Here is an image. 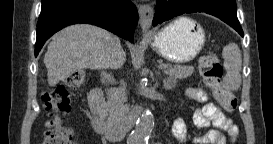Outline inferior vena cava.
<instances>
[{"instance_id":"602c4592","label":"inferior vena cava","mask_w":273,"mask_h":144,"mask_svg":"<svg viewBox=\"0 0 273 144\" xmlns=\"http://www.w3.org/2000/svg\"><path fill=\"white\" fill-rule=\"evenodd\" d=\"M121 45L119 39L112 35L110 45L106 52V58L108 62H113L116 57L120 54Z\"/></svg>"}]
</instances>
